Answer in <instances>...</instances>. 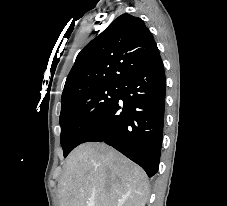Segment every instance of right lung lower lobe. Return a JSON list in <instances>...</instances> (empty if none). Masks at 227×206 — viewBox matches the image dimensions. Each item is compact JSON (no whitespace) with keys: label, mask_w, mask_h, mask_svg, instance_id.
Listing matches in <instances>:
<instances>
[{"label":"right lung lower lobe","mask_w":227,"mask_h":206,"mask_svg":"<svg viewBox=\"0 0 227 206\" xmlns=\"http://www.w3.org/2000/svg\"><path fill=\"white\" fill-rule=\"evenodd\" d=\"M164 107L165 73L161 57H158L122 81L117 100L82 143L105 142L152 177L159 167Z\"/></svg>","instance_id":"obj_1"}]
</instances>
